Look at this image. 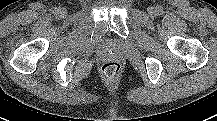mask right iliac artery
<instances>
[{
  "label": "right iliac artery",
  "mask_w": 217,
  "mask_h": 121,
  "mask_svg": "<svg viewBox=\"0 0 217 121\" xmlns=\"http://www.w3.org/2000/svg\"><path fill=\"white\" fill-rule=\"evenodd\" d=\"M59 11H60V9H59V8H54V10H53V13H54V14H58V13H59Z\"/></svg>",
  "instance_id": "82829eb1"
}]
</instances>
